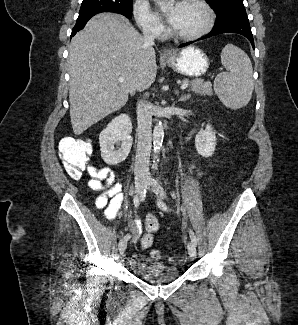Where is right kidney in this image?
I'll use <instances>...</instances> for the list:
<instances>
[{
    "label": "right kidney",
    "instance_id": "ca27d5eb",
    "mask_svg": "<svg viewBox=\"0 0 298 325\" xmlns=\"http://www.w3.org/2000/svg\"><path fill=\"white\" fill-rule=\"evenodd\" d=\"M132 122L129 114H119L108 122L99 134L101 156L107 165H118L127 158L133 138ZM116 144V146H115Z\"/></svg>",
    "mask_w": 298,
    "mask_h": 325
}]
</instances>
